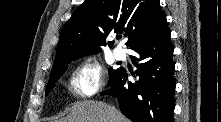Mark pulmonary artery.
I'll return each instance as SVG.
<instances>
[{
  "label": "pulmonary artery",
  "mask_w": 221,
  "mask_h": 122,
  "mask_svg": "<svg viewBox=\"0 0 221 122\" xmlns=\"http://www.w3.org/2000/svg\"><path fill=\"white\" fill-rule=\"evenodd\" d=\"M113 54L117 60H123L126 57L124 49L120 47L115 48Z\"/></svg>",
  "instance_id": "obj_1"
}]
</instances>
